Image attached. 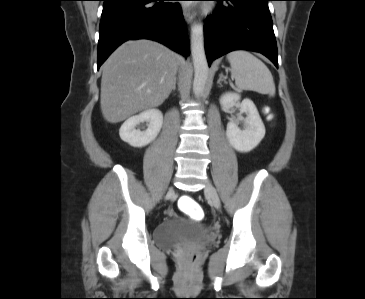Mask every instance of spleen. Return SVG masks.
<instances>
[{"instance_id": "3e777b00", "label": "spleen", "mask_w": 365, "mask_h": 299, "mask_svg": "<svg viewBox=\"0 0 365 299\" xmlns=\"http://www.w3.org/2000/svg\"><path fill=\"white\" fill-rule=\"evenodd\" d=\"M231 77L239 89L275 95V84L267 66L248 51L237 50L228 56Z\"/></svg>"}]
</instances>
